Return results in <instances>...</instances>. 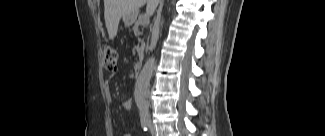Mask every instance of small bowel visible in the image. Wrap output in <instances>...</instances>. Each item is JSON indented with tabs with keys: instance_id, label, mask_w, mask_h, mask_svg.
I'll list each match as a JSON object with an SVG mask.
<instances>
[{
	"instance_id": "small-bowel-1",
	"label": "small bowel",
	"mask_w": 325,
	"mask_h": 136,
	"mask_svg": "<svg viewBox=\"0 0 325 136\" xmlns=\"http://www.w3.org/2000/svg\"><path fill=\"white\" fill-rule=\"evenodd\" d=\"M105 92H106V95L109 99L112 98V91L110 89V84L109 82H106L105 84ZM123 108L125 110H130L132 108V101L131 100H127L125 101L123 104H122Z\"/></svg>"
}]
</instances>
